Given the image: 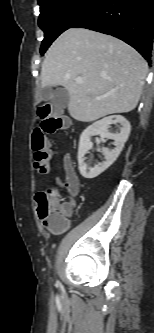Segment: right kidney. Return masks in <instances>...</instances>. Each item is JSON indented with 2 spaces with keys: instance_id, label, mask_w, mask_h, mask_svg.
<instances>
[{
  "instance_id": "ca27d5eb",
  "label": "right kidney",
  "mask_w": 154,
  "mask_h": 333,
  "mask_svg": "<svg viewBox=\"0 0 154 333\" xmlns=\"http://www.w3.org/2000/svg\"><path fill=\"white\" fill-rule=\"evenodd\" d=\"M119 123L121 125L120 133H110L108 128L111 124ZM130 123L121 115H112L105 117L89 127H87L80 136L79 148H78V165L80 174L87 179H92L100 175L107 168H109L118 158L122 151L125 142L130 134ZM93 135H100L101 139H113L115 148L112 150L103 148L102 153L105 157V161L96 164L94 167H90L85 162V155L92 149V142L90 137Z\"/></svg>"
}]
</instances>
